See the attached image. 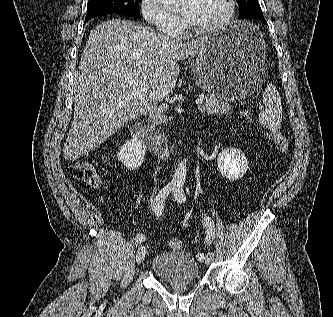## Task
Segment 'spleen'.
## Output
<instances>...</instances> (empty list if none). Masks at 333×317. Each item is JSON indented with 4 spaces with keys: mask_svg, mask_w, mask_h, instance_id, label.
<instances>
[{
    "mask_svg": "<svg viewBox=\"0 0 333 317\" xmlns=\"http://www.w3.org/2000/svg\"><path fill=\"white\" fill-rule=\"evenodd\" d=\"M263 102L265 109L259 113V123L275 132L282 121V103L279 92L274 84L267 85L263 95Z\"/></svg>",
    "mask_w": 333,
    "mask_h": 317,
    "instance_id": "1",
    "label": "spleen"
}]
</instances>
